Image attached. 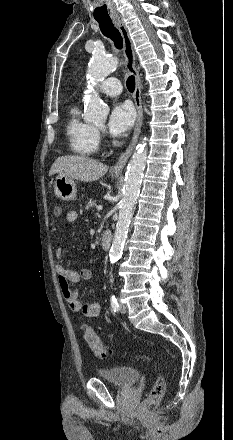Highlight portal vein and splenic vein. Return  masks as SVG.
I'll use <instances>...</instances> for the list:
<instances>
[{
  "mask_svg": "<svg viewBox=\"0 0 233 440\" xmlns=\"http://www.w3.org/2000/svg\"><path fill=\"white\" fill-rule=\"evenodd\" d=\"M97 210H98V211L102 210V206H101V205H98V206H97Z\"/></svg>",
  "mask_w": 233,
  "mask_h": 440,
  "instance_id": "obj_1",
  "label": "portal vein and splenic vein"
}]
</instances>
